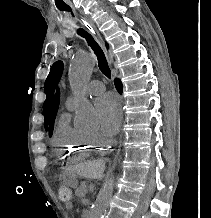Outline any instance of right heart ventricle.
<instances>
[{"instance_id": "1", "label": "right heart ventricle", "mask_w": 211, "mask_h": 218, "mask_svg": "<svg viewBox=\"0 0 211 218\" xmlns=\"http://www.w3.org/2000/svg\"><path fill=\"white\" fill-rule=\"evenodd\" d=\"M53 144L58 165H76L78 161L93 155L104 154L107 143L93 140L88 134L70 125L68 113H62L56 123Z\"/></svg>"}]
</instances>
